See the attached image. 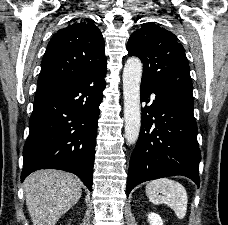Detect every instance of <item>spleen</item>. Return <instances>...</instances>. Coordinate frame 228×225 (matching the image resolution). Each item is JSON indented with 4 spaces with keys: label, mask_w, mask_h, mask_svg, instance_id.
Listing matches in <instances>:
<instances>
[{
    "label": "spleen",
    "mask_w": 228,
    "mask_h": 225,
    "mask_svg": "<svg viewBox=\"0 0 228 225\" xmlns=\"http://www.w3.org/2000/svg\"><path fill=\"white\" fill-rule=\"evenodd\" d=\"M146 195L153 205H168L178 219H184L187 213L188 195L185 187L177 181L171 179L150 181L146 187Z\"/></svg>",
    "instance_id": "1"
}]
</instances>
